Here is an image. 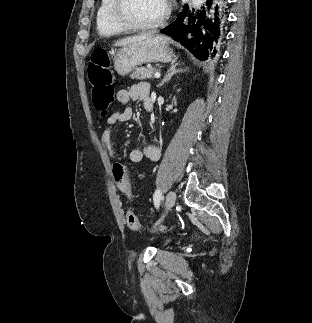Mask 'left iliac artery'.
<instances>
[{"mask_svg":"<svg viewBox=\"0 0 312 323\" xmlns=\"http://www.w3.org/2000/svg\"><path fill=\"white\" fill-rule=\"evenodd\" d=\"M160 199H161V190L157 189L153 195L154 205L156 207H159L160 205Z\"/></svg>","mask_w":312,"mask_h":323,"instance_id":"44dca946","label":"left iliac artery"}]
</instances>
